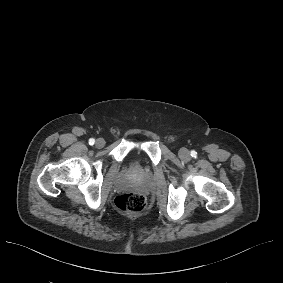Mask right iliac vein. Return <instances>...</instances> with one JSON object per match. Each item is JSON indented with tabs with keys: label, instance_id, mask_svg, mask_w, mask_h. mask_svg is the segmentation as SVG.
Listing matches in <instances>:
<instances>
[{
	"label": "right iliac vein",
	"instance_id": "1",
	"mask_svg": "<svg viewBox=\"0 0 283 283\" xmlns=\"http://www.w3.org/2000/svg\"><path fill=\"white\" fill-rule=\"evenodd\" d=\"M97 148H103L105 146V140L103 138H98L95 142Z\"/></svg>",
	"mask_w": 283,
	"mask_h": 283
}]
</instances>
